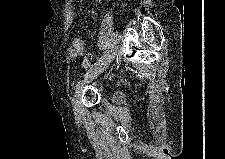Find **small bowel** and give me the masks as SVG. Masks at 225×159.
<instances>
[{
  "mask_svg": "<svg viewBox=\"0 0 225 159\" xmlns=\"http://www.w3.org/2000/svg\"><path fill=\"white\" fill-rule=\"evenodd\" d=\"M70 18H73V11L70 10ZM85 50V43L81 37H76L73 42L72 46L69 51V55L71 58H77L84 53Z\"/></svg>",
  "mask_w": 225,
  "mask_h": 159,
  "instance_id": "c3829d8e",
  "label": "small bowel"
}]
</instances>
